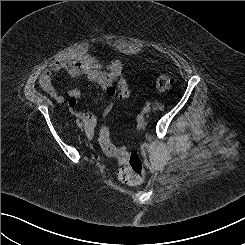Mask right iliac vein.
Returning <instances> with one entry per match:
<instances>
[{
  "mask_svg": "<svg viewBox=\"0 0 245 245\" xmlns=\"http://www.w3.org/2000/svg\"><path fill=\"white\" fill-rule=\"evenodd\" d=\"M83 127V124L81 123L80 125H79V128H82Z\"/></svg>",
  "mask_w": 245,
  "mask_h": 245,
  "instance_id": "right-iliac-vein-1",
  "label": "right iliac vein"
}]
</instances>
